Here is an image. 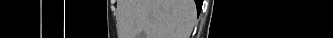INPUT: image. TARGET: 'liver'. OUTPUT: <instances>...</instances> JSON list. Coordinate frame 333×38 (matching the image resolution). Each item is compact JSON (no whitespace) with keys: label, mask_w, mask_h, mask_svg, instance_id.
Here are the masks:
<instances>
[{"label":"liver","mask_w":333,"mask_h":38,"mask_svg":"<svg viewBox=\"0 0 333 38\" xmlns=\"http://www.w3.org/2000/svg\"><path fill=\"white\" fill-rule=\"evenodd\" d=\"M137 34L146 38H189L193 0H137Z\"/></svg>","instance_id":"6515ba94"}]
</instances>
